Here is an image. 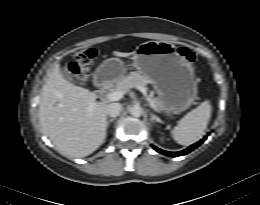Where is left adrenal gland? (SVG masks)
I'll use <instances>...</instances> for the list:
<instances>
[{"mask_svg":"<svg viewBox=\"0 0 260 205\" xmlns=\"http://www.w3.org/2000/svg\"><path fill=\"white\" fill-rule=\"evenodd\" d=\"M150 121H151V123H154V121H155V118H154V116H153V114L152 113H150Z\"/></svg>","mask_w":260,"mask_h":205,"instance_id":"left-adrenal-gland-1","label":"left adrenal gland"}]
</instances>
